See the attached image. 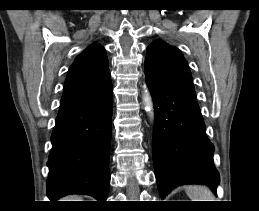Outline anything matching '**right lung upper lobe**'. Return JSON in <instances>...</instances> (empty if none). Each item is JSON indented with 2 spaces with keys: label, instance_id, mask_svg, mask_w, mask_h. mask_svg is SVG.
<instances>
[{
  "label": "right lung upper lobe",
  "instance_id": "obj_1",
  "mask_svg": "<svg viewBox=\"0 0 259 211\" xmlns=\"http://www.w3.org/2000/svg\"><path fill=\"white\" fill-rule=\"evenodd\" d=\"M111 85L108 59L101 45L88 46L69 68L60 105L90 98Z\"/></svg>",
  "mask_w": 259,
  "mask_h": 211
}]
</instances>
